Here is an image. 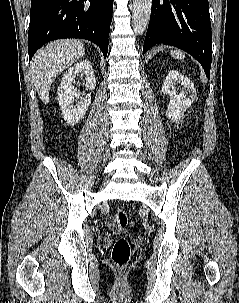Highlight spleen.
<instances>
[{
    "label": "spleen",
    "mask_w": 239,
    "mask_h": 303,
    "mask_svg": "<svg viewBox=\"0 0 239 303\" xmlns=\"http://www.w3.org/2000/svg\"><path fill=\"white\" fill-rule=\"evenodd\" d=\"M170 54L175 59H183L185 58V54L180 50H171Z\"/></svg>",
    "instance_id": "spleen-1"
}]
</instances>
